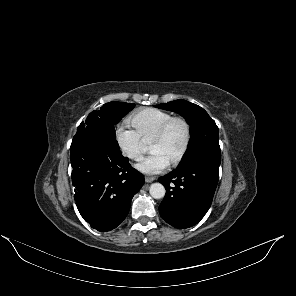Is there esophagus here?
I'll return each mask as SVG.
<instances>
[{
	"label": "esophagus",
	"mask_w": 296,
	"mask_h": 296,
	"mask_svg": "<svg viewBox=\"0 0 296 296\" xmlns=\"http://www.w3.org/2000/svg\"><path fill=\"white\" fill-rule=\"evenodd\" d=\"M154 180H155L154 177H151V176H146V177H145V181H146L147 183H151V182H153Z\"/></svg>",
	"instance_id": "1"
}]
</instances>
